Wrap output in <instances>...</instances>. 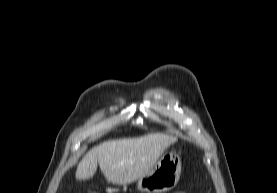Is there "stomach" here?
I'll return each instance as SVG.
<instances>
[{"label": "stomach", "mask_w": 277, "mask_h": 193, "mask_svg": "<svg viewBox=\"0 0 277 193\" xmlns=\"http://www.w3.org/2000/svg\"><path fill=\"white\" fill-rule=\"evenodd\" d=\"M180 174V157L166 152L147 174L138 178L137 189L142 193H165L177 185Z\"/></svg>", "instance_id": "1"}]
</instances>
